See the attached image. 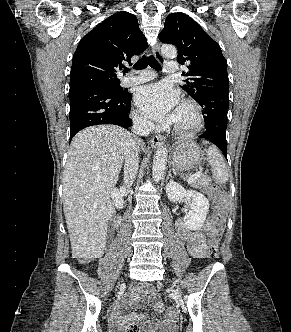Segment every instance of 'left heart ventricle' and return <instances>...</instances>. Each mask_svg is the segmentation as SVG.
<instances>
[{
  "label": "left heart ventricle",
  "mask_w": 291,
  "mask_h": 332,
  "mask_svg": "<svg viewBox=\"0 0 291 332\" xmlns=\"http://www.w3.org/2000/svg\"><path fill=\"white\" fill-rule=\"evenodd\" d=\"M173 124L179 127H189L192 124V115L188 108L179 106Z\"/></svg>",
  "instance_id": "1"
}]
</instances>
